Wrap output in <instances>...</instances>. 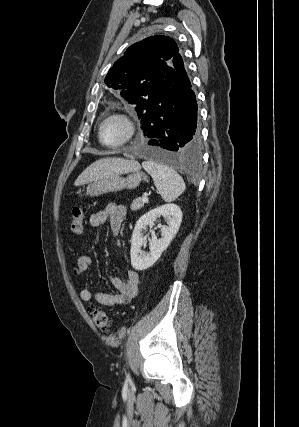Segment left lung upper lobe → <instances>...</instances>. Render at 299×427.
<instances>
[{
	"instance_id": "1",
	"label": "left lung upper lobe",
	"mask_w": 299,
	"mask_h": 427,
	"mask_svg": "<svg viewBox=\"0 0 299 427\" xmlns=\"http://www.w3.org/2000/svg\"><path fill=\"white\" fill-rule=\"evenodd\" d=\"M179 51L167 36L147 37L130 46L110 68L105 77L108 87L121 90V95L136 105L139 118L155 104L177 78L173 57Z\"/></svg>"
}]
</instances>
